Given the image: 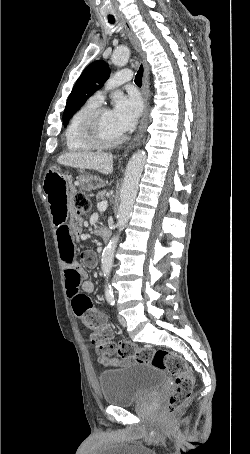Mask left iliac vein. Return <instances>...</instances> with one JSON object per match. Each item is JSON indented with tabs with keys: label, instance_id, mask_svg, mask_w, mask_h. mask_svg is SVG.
I'll list each match as a JSON object with an SVG mask.
<instances>
[{
	"label": "left iliac vein",
	"instance_id": "obj_1",
	"mask_svg": "<svg viewBox=\"0 0 250 454\" xmlns=\"http://www.w3.org/2000/svg\"><path fill=\"white\" fill-rule=\"evenodd\" d=\"M118 320H119V323H120L123 327H126L127 323H126L125 318H124L122 315L118 314Z\"/></svg>",
	"mask_w": 250,
	"mask_h": 454
}]
</instances>
